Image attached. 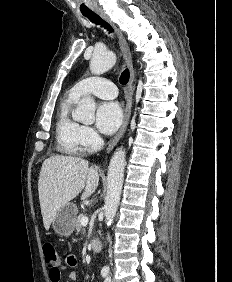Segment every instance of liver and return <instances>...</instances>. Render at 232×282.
Returning <instances> with one entry per match:
<instances>
[{"mask_svg":"<svg viewBox=\"0 0 232 282\" xmlns=\"http://www.w3.org/2000/svg\"><path fill=\"white\" fill-rule=\"evenodd\" d=\"M99 183L96 168L88 161L73 156H52L41 167L38 193L43 224L46 230L58 210L76 198L82 190V199L95 192Z\"/></svg>","mask_w":232,"mask_h":282,"instance_id":"obj_1","label":"liver"}]
</instances>
